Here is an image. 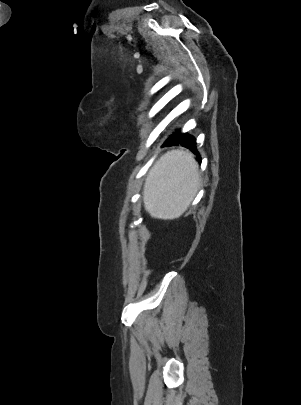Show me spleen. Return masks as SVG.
Listing matches in <instances>:
<instances>
[{
	"mask_svg": "<svg viewBox=\"0 0 301 405\" xmlns=\"http://www.w3.org/2000/svg\"><path fill=\"white\" fill-rule=\"evenodd\" d=\"M199 183L194 156L183 150L168 152L156 162L146 179L145 209L154 218H178L195 197Z\"/></svg>",
	"mask_w": 301,
	"mask_h": 405,
	"instance_id": "obj_1",
	"label": "spleen"
}]
</instances>
